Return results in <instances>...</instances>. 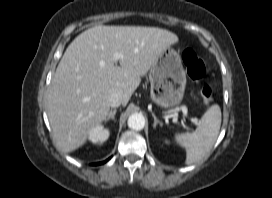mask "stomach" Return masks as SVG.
Segmentation results:
<instances>
[{
	"mask_svg": "<svg viewBox=\"0 0 272 198\" xmlns=\"http://www.w3.org/2000/svg\"><path fill=\"white\" fill-rule=\"evenodd\" d=\"M151 99L162 108L181 103L186 86V74L179 53L171 46L154 60L150 72Z\"/></svg>",
	"mask_w": 272,
	"mask_h": 198,
	"instance_id": "stomach-1",
	"label": "stomach"
}]
</instances>
